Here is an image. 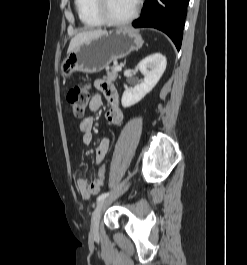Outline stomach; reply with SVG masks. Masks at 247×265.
<instances>
[{
	"label": "stomach",
	"mask_w": 247,
	"mask_h": 265,
	"mask_svg": "<svg viewBox=\"0 0 247 265\" xmlns=\"http://www.w3.org/2000/svg\"><path fill=\"white\" fill-rule=\"evenodd\" d=\"M143 45L141 35L134 29L123 27L106 31L102 35L78 45L68 53L60 66L64 80L74 72L97 73L113 61L126 57Z\"/></svg>",
	"instance_id": "obj_1"
}]
</instances>
